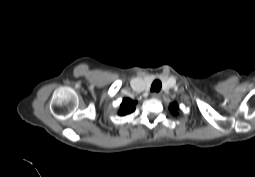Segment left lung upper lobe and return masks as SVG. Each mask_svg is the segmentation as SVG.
Listing matches in <instances>:
<instances>
[{
    "label": "left lung upper lobe",
    "mask_w": 255,
    "mask_h": 177,
    "mask_svg": "<svg viewBox=\"0 0 255 177\" xmlns=\"http://www.w3.org/2000/svg\"><path fill=\"white\" fill-rule=\"evenodd\" d=\"M170 109L174 115H178V105L177 103H172Z\"/></svg>",
    "instance_id": "obj_1"
}]
</instances>
